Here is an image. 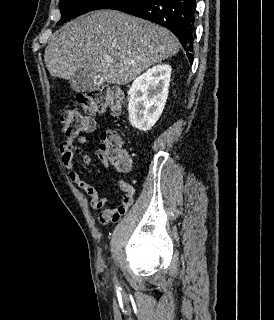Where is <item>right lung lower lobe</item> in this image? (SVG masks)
<instances>
[{"label":"right lung lower lobe","instance_id":"right-lung-lower-lobe-1","mask_svg":"<svg viewBox=\"0 0 274 320\" xmlns=\"http://www.w3.org/2000/svg\"><path fill=\"white\" fill-rule=\"evenodd\" d=\"M195 0H113L103 9L122 11L171 30L193 61V30L196 14Z\"/></svg>","mask_w":274,"mask_h":320}]
</instances>
